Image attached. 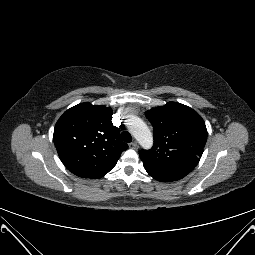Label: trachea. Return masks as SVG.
<instances>
[{
	"label": "trachea",
	"instance_id": "1",
	"mask_svg": "<svg viewBox=\"0 0 255 255\" xmlns=\"http://www.w3.org/2000/svg\"><path fill=\"white\" fill-rule=\"evenodd\" d=\"M121 139L124 141V142H127V143H129V142H131L132 141V136H131V134L129 133V132H127V131H123L122 133H121Z\"/></svg>",
	"mask_w": 255,
	"mask_h": 255
}]
</instances>
